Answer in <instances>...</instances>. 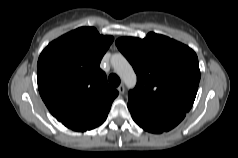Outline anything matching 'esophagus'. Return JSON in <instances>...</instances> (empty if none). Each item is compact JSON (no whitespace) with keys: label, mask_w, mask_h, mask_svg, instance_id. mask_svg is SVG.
Listing matches in <instances>:
<instances>
[{"label":"esophagus","mask_w":238,"mask_h":158,"mask_svg":"<svg viewBox=\"0 0 238 158\" xmlns=\"http://www.w3.org/2000/svg\"><path fill=\"white\" fill-rule=\"evenodd\" d=\"M118 91H119L120 94H124V92H125V86H124L123 84L119 85Z\"/></svg>","instance_id":"obj_1"}]
</instances>
